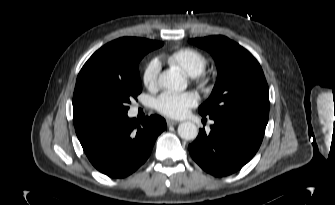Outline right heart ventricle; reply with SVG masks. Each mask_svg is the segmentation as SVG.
<instances>
[{
  "label": "right heart ventricle",
  "mask_w": 335,
  "mask_h": 205,
  "mask_svg": "<svg viewBox=\"0 0 335 205\" xmlns=\"http://www.w3.org/2000/svg\"><path fill=\"white\" fill-rule=\"evenodd\" d=\"M168 60L190 76L201 74L208 64L207 57L201 51L191 47L181 48L173 52Z\"/></svg>",
  "instance_id": "obj_1"
}]
</instances>
